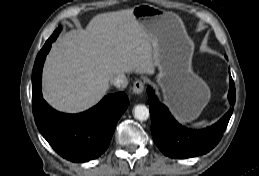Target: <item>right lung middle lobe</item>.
Returning <instances> with one entry per match:
<instances>
[{
  "mask_svg": "<svg viewBox=\"0 0 259 176\" xmlns=\"http://www.w3.org/2000/svg\"><path fill=\"white\" fill-rule=\"evenodd\" d=\"M61 31V27H58L55 31H54V33H58V32H60ZM53 33V34H54Z\"/></svg>",
  "mask_w": 259,
  "mask_h": 176,
  "instance_id": "dd1d6c3e",
  "label": "right lung middle lobe"
}]
</instances>
